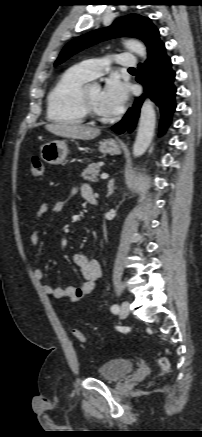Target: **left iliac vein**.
Here are the masks:
<instances>
[{"mask_svg": "<svg viewBox=\"0 0 202 437\" xmlns=\"http://www.w3.org/2000/svg\"><path fill=\"white\" fill-rule=\"evenodd\" d=\"M129 312H130V304L129 302L125 301L121 305L119 315L121 318H125L128 316Z\"/></svg>", "mask_w": 202, "mask_h": 437, "instance_id": "4c4485c4", "label": "left iliac vein"}]
</instances>
